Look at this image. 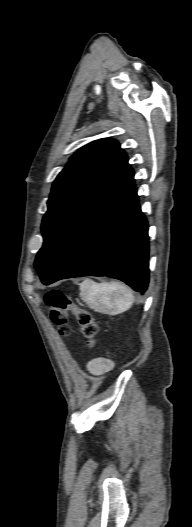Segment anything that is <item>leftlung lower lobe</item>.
Masks as SVG:
<instances>
[{
  "label": "left lung lower lobe",
  "instance_id": "1",
  "mask_svg": "<svg viewBox=\"0 0 192 527\" xmlns=\"http://www.w3.org/2000/svg\"><path fill=\"white\" fill-rule=\"evenodd\" d=\"M131 169L92 211L46 275L48 285L80 276H108L145 292L149 280L148 224Z\"/></svg>",
  "mask_w": 192,
  "mask_h": 527
}]
</instances>
